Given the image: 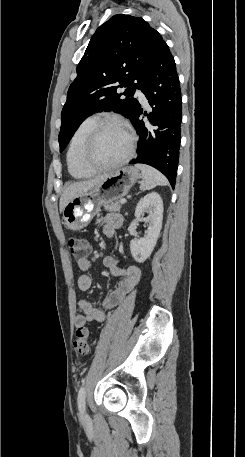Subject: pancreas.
I'll return each mask as SVG.
<instances>
[{
    "mask_svg": "<svg viewBox=\"0 0 245 457\" xmlns=\"http://www.w3.org/2000/svg\"><path fill=\"white\" fill-rule=\"evenodd\" d=\"M121 204L123 202H119V200H115V202H105L104 206L106 210H110V212H114V210H120Z\"/></svg>",
    "mask_w": 245,
    "mask_h": 457,
    "instance_id": "pancreas-1",
    "label": "pancreas"
}]
</instances>
